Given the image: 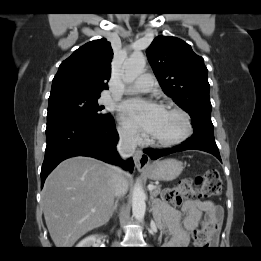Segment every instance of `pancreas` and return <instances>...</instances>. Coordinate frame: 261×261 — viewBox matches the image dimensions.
<instances>
[{"mask_svg": "<svg viewBox=\"0 0 261 261\" xmlns=\"http://www.w3.org/2000/svg\"><path fill=\"white\" fill-rule=\"evenodd\" d=\"M160 191H161L160 186H156V188L151 191V195H152L153 197H156L157 195L160 194Z\"/></svg>", "mask_w": 261, "mask_h": 261, "instance_id": "obj_1", "label": "pancreas"}]
</instances>
